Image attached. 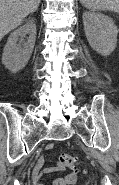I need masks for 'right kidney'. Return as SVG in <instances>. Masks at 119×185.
Masks as SVG:
<instances>
[{
	"label": "right kidney",
	"instance_id": "1",
	"mask_svg": "<svg viewBox=\"0 0 119 185\" xmlns=\"http://www.w3.org/2000/svg\"><path fill=\"white\" fill-rule=\"evenodd\" d=\"M29 35L27 41L24 37ZM36 40V25L29 21L15 30L8 38L2 55V63L12 73L22 70L28 63Z\"/></svg>",
	"mask_w": 119,
	"mask_h": 185
}]
</instances>
